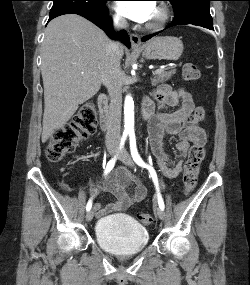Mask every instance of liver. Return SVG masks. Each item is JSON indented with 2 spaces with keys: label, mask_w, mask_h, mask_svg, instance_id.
Instances as JSON below:
<instances>
[{
  "label": "liver",
  "mask_w": 250,
  "mask_h": 285,
  "mask_svg": "<svg viewBox=\"0 0 250 285\" xmlns=\"http://www.w3.org/2000/svg\"><path fill=\"white\" fill-rule=\"evenodd\" d=\"M110 43L102 30L78 15L59 16L48 24L41 51L43 142L99 91ZM120 51L122 56L121 46Z\"/></svg>",
  "instance_id": "1"
}]
</instances>
